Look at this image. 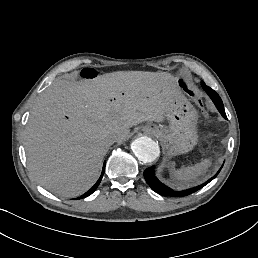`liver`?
I'll return each instance as SVG.
<instances>
[{
    "label": "liver",
    "mask_w": 258,
    "mask_h": 258,
    "mask_svg": "<svg viewBox=\"0 0 258 258\" xmlns=\"http://www.w3.org/2000/svg\"><path fill=\"white\" fill-rule=\"evenodd\" d=\"M175 80L168 72L115 71L56 81L35 102L24 130L30 173L54 194L82 195L109 149L105 137L114 133L123 142L130 126L161 120Z\"/></svg>",
    "instance_id": "1"
}]
</instances>
